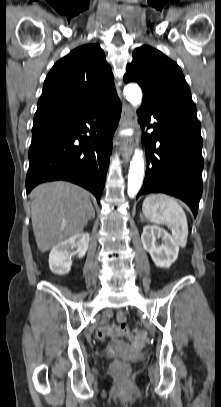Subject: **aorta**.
<instances>
[{
    "label": "aorta",
    "mask_w": 221,
    "mask_h": 407,
    "mask_svg": "<svg viewBox=\"0 0 221 407\" xmlns=\"http://www.w3.org/2000/svg\"><path fill=\"white\" fill-rule=\"evenodd\" d=\"M124 94L127 100L134 106L138 107L142 101V91L137 84H128L124 88ZM144 177V160L142 152L138 149L130 161L128 173L127 192L130 197H134L140 190Z\"/></svg>",
    "instance_id": "aorta-1"
}]
</instances>
